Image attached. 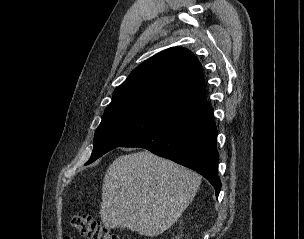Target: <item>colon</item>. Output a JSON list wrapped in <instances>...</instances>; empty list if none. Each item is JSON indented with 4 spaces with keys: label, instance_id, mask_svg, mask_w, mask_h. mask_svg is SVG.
<instances>
[{
    "label": "colon",
    "instance_id": "colon-1",
    "mask_svg": "<svg viewBox=\"0 0 304 239\" xmlns=\"http://www.w3.org/2000/svg\"><path fill=\"white\" fill-rule=\"evenodd\" d=\"M70 220L75 230L87 239H120L119 236L112 233L88 214H73Z\"/></svg>",
    "mask_w": 304,
    "mask_h": 239
}]
</instances>
